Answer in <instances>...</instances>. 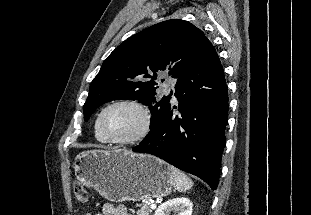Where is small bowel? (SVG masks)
Here are the masks:
<instances>
[{"mask_svg": "<svg viewBox=\"0 0 311 215\" xmlns=\"http://www.w3.org/2000/svg\"><path fill=\"white\" fill-rule=\"evenodd\" d=\"M84 215H131L124 205L114 206L113 204L106 203L103 205L99 213H85Z\"/></svg>", "mask_w": 311, "mask_h": 215, "instance_id": "small-bowel-1", "label": "small bowel"}]
</instances>
